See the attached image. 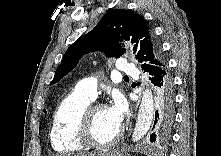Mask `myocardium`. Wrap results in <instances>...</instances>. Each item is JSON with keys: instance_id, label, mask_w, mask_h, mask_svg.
<instances>
[{"instance_id": "f54148a6", "label": "myocardium", "mask_w": 221, "mask_h": 156, "mask_svg": "<svg viewBox=\"0 0 221 156\" xmlns=\"http://www.w3.org/2000/svg\"><path fill=\"white\" fill-rule=\"evenodd\" d=\"M99 107H105V105L101 103H90L85 107L79 117L76 127V138L83 146L108 148L116 144L122 136L123 130L119 128L116 135L107 142H98L92 137L91 126L93 114Z\"/></svg>"}]
</instances>
